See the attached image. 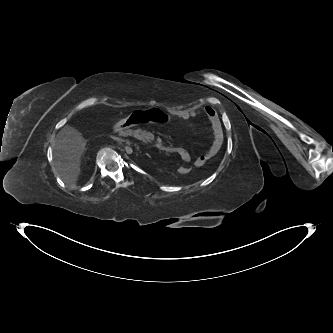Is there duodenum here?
<instances>
[{"instance_id": "1", "label": "duodenum", "mask_w": 333, "mask_h": 333, "mask_svg": "<svg viewBox=\"0 0 333 333\" xmlns=\"http://www.w3.org/2000/svg\"><path fill=\"white\" fill-rule=\"evenodd\" d=\"M134 131L131 129L130 131L128 130V131H126L125 129L123 130V129H121V130H119L117 133L120 135V134H125V133H127L128 135L130 134H132ZM159 149H161V150H164V151H170L171 149L170 148H167V147H160Z\"/></svg>"}]
</instances>
